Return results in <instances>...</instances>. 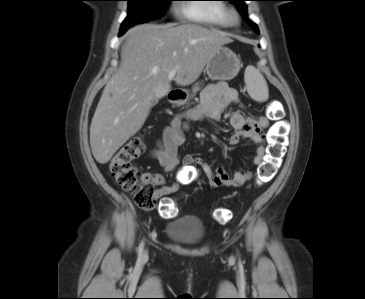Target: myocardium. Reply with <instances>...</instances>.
Listing matches in <instances>:
<instances>
[{
  "mask_svg": "<svg viewBox=\"0 0 365 299\" xmlns=\"http://www.w3.org/2000/svg\"><path fill=\"white\" fill-rule=\"evenodd\" d=\"M226 25L236 27L240 23V16L235 9H228L225 17Z\"/></svg>",
  "mask_w": 365,
  "mask_h": 299,
  "instance_id": "1",
  "label": "myocardium"
}]
</instances>
